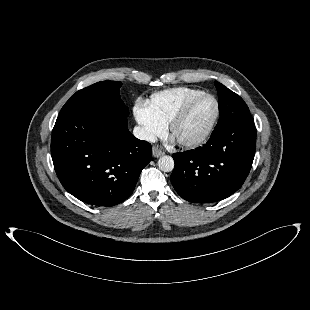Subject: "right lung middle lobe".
<instances>
[{
	"mask_svg": "<svg viewBox=\"0 0 310 310\" xmlns=\"http://www.w3.org/2000/svg\"><path fill=\"white\" fill-rule=\"evenodd\" d=\"M122 83L118 81H102L77 91L60 111L65 113L80 108H103L128 116L129 110L119 95Z\"/></svg>",
	"mask_w": 310,
	"mask_h": 310,
	"instance_id": "1",
	"label": "right lung middle lobe"
}]
</instances>
